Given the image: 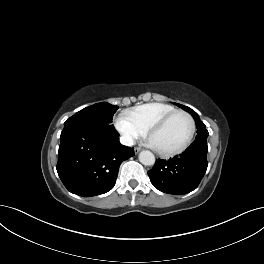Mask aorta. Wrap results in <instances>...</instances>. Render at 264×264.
<instances>
[{
  "instance_id": "1",
  "label": "aorta",
  "mask_w": 264,
  "mask_h": 264,
  "mask_svg": "<svg viewBox=\"0 0 264 264\" xmlns=\"http://www.w3.org/2000/svg\"><path fill=\"white\" fill-rule=\"evenodd\" d=\"M139 161L145 166H152L155 164V156L151 151L144 150L139 154Z\"/></svg>"
}]
</instances>
